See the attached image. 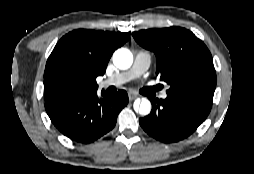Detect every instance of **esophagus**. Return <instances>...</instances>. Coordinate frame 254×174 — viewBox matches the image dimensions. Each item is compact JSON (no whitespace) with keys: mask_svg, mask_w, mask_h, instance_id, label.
Instances as JSON below:
<instances>
[{"mask_svg":"<svg viewBox=\"0 0 254 174\" xmlns=\"http://www.w3.org/2000/svg\"><path fill=\"white\" fill-rule=\"evenodd\" d=\"M128 97H129V100H130V101H133L134 99H136V98L138 97V95L135 94V93L130 92V93L128 94Z\"/></svg>","mask_w":254,"mask_h":174,"instance_id":"34e87169","label":"esophagus"}]
</instances>
